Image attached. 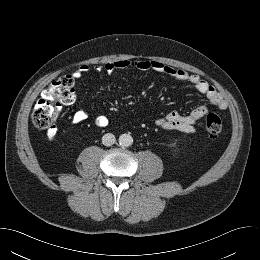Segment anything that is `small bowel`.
Instances as JSON below:
<instances>
[{"label":"small bowel","instance_id":"small-bowel-1","mask_svg":"<svg viewBox=\"0 0 260 260\" xmlns=\"http://www.w3.org/2000/svg\"><path fill=\"white\" fill-rule=\"evenodd\" d=\"M130 67H134L141 71H153L159 74H164L173 77L179 81H183L191 84L199 93L205 95L208 100L220 110L227 108V103L222 95L207 81L200 78L198 75L188 73L185 70L165 65L156 60L138 59V60H116L106 63L103 66H97L98 71H105L112 73L116 70H123ZM89 70L88 65H81L73 72L75 78L82 77ZM208 109L205 105H200L194 108L188 114H180L176 111H172L156 120V125L161 129L177 130L185 133H193L195 131V124L206 113ZM87 118L85 110H77L73 117L72 122L74 124H80ZM108 118L105 115H99L95 119V123L98 127H105L108 125ZM55 133H50L52 137Z\"/></svg>","mask_w":260,"mask_h":260}]
</instances>
